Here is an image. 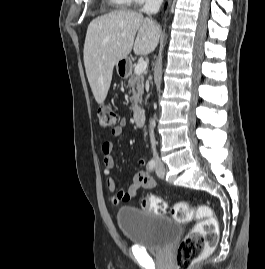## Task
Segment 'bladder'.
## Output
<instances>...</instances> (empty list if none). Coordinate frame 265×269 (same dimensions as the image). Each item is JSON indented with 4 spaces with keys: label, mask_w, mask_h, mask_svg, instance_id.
I'll list each match as a JSON object with an SVG mask.
<instances>
[{
    "label": "bladder",
    "mask_w": 265,
    "mask_h": 269,
    "mask_svg": "<svg viewBox=\"0 0 265 269\" xmlns=\"http://www.w3.org/2000/svg\"><path fill=\"white\" fill-rule=\"evenodd\" d=\"M116 220L130 243L152 251L167 249L181 234L179 223L167 216L145 213L135 206L120 208Z\"/></svg>",
    "instance_id": "31cf9c89"
}]
</instances>
